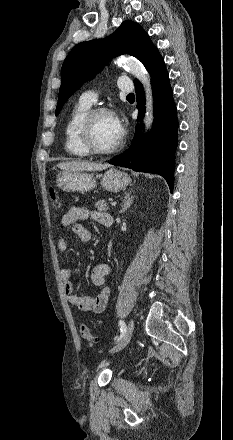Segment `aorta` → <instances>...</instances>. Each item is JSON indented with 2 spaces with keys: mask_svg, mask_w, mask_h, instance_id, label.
<instances>
[{
  "mask_svg": "<svg viewBox=\"0 0 233 440\" xmlns=\"http://www.w3.org/2000/svg\"><path fill=\"white\" fill-rule=\"evenodd\" d=\"M121 65L134 77H136L144 86L146 95V113L144 123L147 129H149L153 122V100L152 90L150 85V77L143 67V65L133 57H123L121 59Z\"/></svg>",
  "mask_w": 233,
  "mask_h": 440,
  "instance_id": "aorta-1",
  "label": "aorta"
}]
</instances>
